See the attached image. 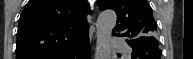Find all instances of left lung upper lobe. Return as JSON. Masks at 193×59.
Returning a JSON list of instances; mask_svg holds the SVG:
<instances>
[{
    "mask_svg": "<svg viewBox=\"0 0 193 59\" xmlns=\"http://www.w3.org/2000/svg\"><path fill=\"white\" fill-rule=\"evenodd\" d=\"M100 10L113 9L117 14V24L113 32H123L117 36L133 40H156L157 24L152 9L146 0H97Z\"/></svg>",
    "mask_w": 193,
    "mask_h": 59,
    "instance_id": "left-lung-upper-lobe-1",
    "label": "left lung upper lobe"
}]
</instances>
